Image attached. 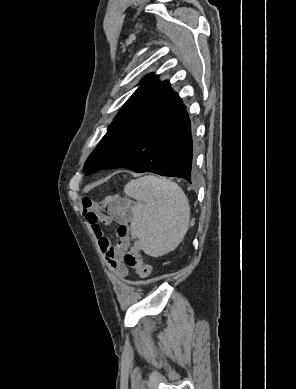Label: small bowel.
<instances>
[{"instance_id":"obj_1","label":"small bowel","mask_w":296,"mask_h":389,"mask_svg":"<svg viewBox=\"0 0 296 389\" xmlns=\"http://www.w3.org/2000/svg\"><path fill=\"white\" fill-rule=\"evenodd\" d=\"M82 204L83 215L96 236L100 250L109 266L118 277H126L128 269L122 260L128 248L129 222L133 214L132 205L118 198H110L103 202L84 199ZM112 222L118 224L116 229L118 241L115 245L111 244L102 228V226H109Z\"/></svg>"}]
</instances>
